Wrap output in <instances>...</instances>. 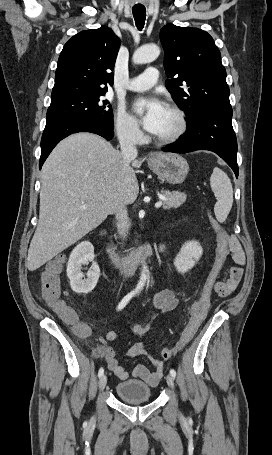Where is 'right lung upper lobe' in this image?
<instances>
[{
    "mask_svg": "<svg viewBox=\"0 0 272 455\" xmlns=\"http://www.w3.org/2000/svg\"><path fill=\"white\" fill-rule=\"evenodd\" d=\"M119 47L120 40L106 26L74 35L59 56L51 101L105 94L107 85H113Z\"/></svg>",
    "mask_w": 272,
    "mask_h": 455,
    "instance_id": "right-lung-upper-lobe-1",
    "label": "right lung upper lobe"
}]
</instances>
